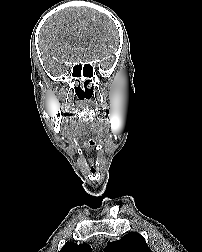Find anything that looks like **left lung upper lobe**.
<instances>
[{"label":"left lung upper lobe","instance_id":"obj_1","mask_svg":"<svg viewBox=\"0 0 202 252\" xmlns=\"http://www.w3.org/2000/svg\"><path fill=\"white\" fill-rule=\"evenodd\" d=\"M105 252H152L145 239L136 232L128 233L120 240L111 242Z\"/></svg>","mask_w":202,"mask_h":252}]
</instances>
